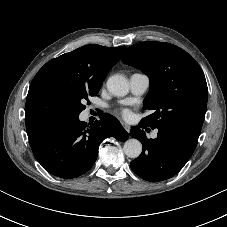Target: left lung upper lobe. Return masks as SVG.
<instances>
[{
  "label": "left lung upper lobe",
  "instance_id": "left-lung-upper-lobe-1",
  "mask_svg": "<svg viewBox=\"0 0 227 227\" xmlns=\"http://www.w3.org/2000/svg\"><path fill=\"white\" fill-rule=\"evenodd\" d=\"M122 61L150 79L144 108L153 113L141 122L171 127L199 137L207 108V83L198 63L183 49L154 41L130 46Z\"/></svg>",
  "mask_w": 227,
  "mask_h": 227
}]
</instances>
